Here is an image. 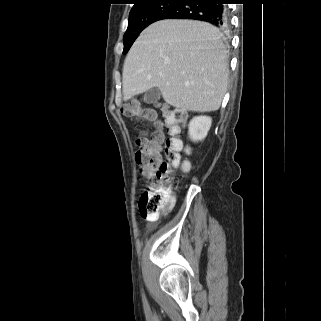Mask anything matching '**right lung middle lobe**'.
Instances as JSON below:
<instances>
[{
  "instance_id": "dd1d6c3e",
  "label": "right lung middle lobe",
  "mask_w": 321,
  "mask_h": 321,
  "mask_svg": "<svg viewBox=\"0 0 321 321\" xmlns=\"http://www.w3.org/2000/svg\"><path fill=\"white\" fill-rule=\"evenodd\" d=\"M179 0H151L138 6H133L129 15L128 28L124 34V50L127 53L138 35L159 17L174 7Z\"/></svg>"
}]
</instances>
